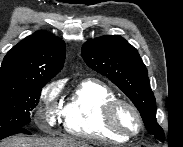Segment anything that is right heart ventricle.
Segmentation results:
<instances>
[{"mask_svg": "<svg viewBox=\"0 0 183 147\" xmlns=\"http://www.w3.org/2000/svg\"><path fill=\"white\" fill-rule=\"evenodd\" d=\"M115 98L108 85L93 79L81 81L63 106L64 130L83 139L127 141L128 138L112 132L103 121L105 104Z\"/></svg>", "mask_w": 183, "mask_h": 147, "instance_id": "1", "label": "right heart ventricle"}]
</instances>
